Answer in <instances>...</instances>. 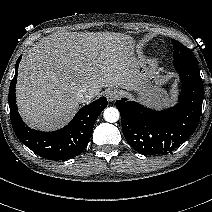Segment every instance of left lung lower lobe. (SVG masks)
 <instances>
[{
    "instance_id": "obj_1",
    "label": "left lung lower lobe",
    "mask_w": 212,
    "mask_h": 212,
    "mask_svg": "<svg viewBox=\"0 0 212 212\" xmlns=\"http://www.w3.org/2000/svg\"><path fill=\"white\" fill-rule=\"evenodd\" d=\"M197 61H173L182 91L178 104L150 110L125 98L116 101L122 130L128 144L144 155L163 154L185 142L195 131L202 110L203 83Z\"/></svg>"
}]
</instances>
